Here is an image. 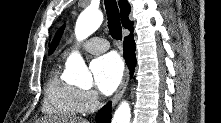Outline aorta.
I'll return each instance as SVG.
<instances>
[{"instance_id":"aorta-1","label":"aorta","mask_w":221,"mask_h":123,"mask_svg":"<svg viewBox=\"0 0 221 123\" xmlns=\"http://www.w3.org/2000/svg\"><path fill=\"white\" fill-rule=\"evenodd\" d=\"M103 14L100 10L86 8L78 17L75 26V35L78 41H82L93 34L102 24ZM68 80L80 87L92 85V75L86 64L77 52L72 53L65 65ZM131 111L129 103L122 102L112 119V123H130Z\"/></svg>"}]
</instances>
